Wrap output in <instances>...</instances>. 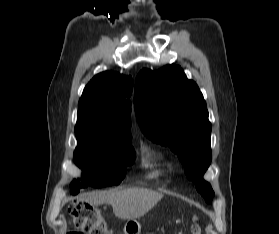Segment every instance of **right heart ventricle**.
<instances>
[{
  "label": "right heart ventricle",
  "instance_id": "obj_1",
  "mask_svg": "<svg viewBox=\"0 0 279 234\" xmlns=\"http://www.w3.org/2000/svg\"><path fill=\"white\" fill-rule=\"evenodd\" d=\"M144 161L150 168H158L162 164L160 157L151 151L144 152Z\"/></svg>",
  "mask_w": 279,
  "mask_h": 234
}]
</instances>
